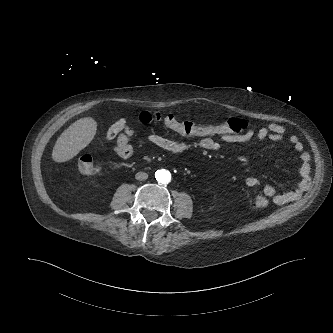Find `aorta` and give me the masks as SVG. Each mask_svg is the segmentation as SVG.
<instances>
[{"mask_svg": "<svg viewBox=\"0 0 333 333\" xmlns=\"http://www.w3.org/2000/svg\"><path fill=\"white\" fill-rule=\"evenodd\" d=\"M156 179L162 183V184H166L170 181L171 179V175L168 171L165 170H159L156 172Z\"/></svg>", "mask_w": 333, "mask_h": 333, "instance_id": "obj_1", "label": "aorta"}]
</instances>
